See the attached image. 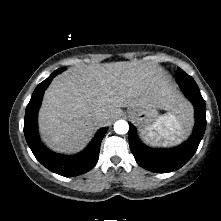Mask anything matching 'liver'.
Masks as SVG:
<instances>
[{"label":"liver","mask_w":221,"mask_h":221,"mask_svg":"<svg viewBox=\"0 0 221 221\" xmlns=\"http://www.w3.org/2000/svg\"><path fill=\"white\" fill-rule=\"evenodd\" d=\"M120 107H156L179 115L191 106L161 70L134 62L74 67L55 77L39 111V131L55 152L72 154L90 141L97 126L111 123ZM103 113L102 122L95 114Z\"/></svg>","instance_id":"1"}]
</instances>
